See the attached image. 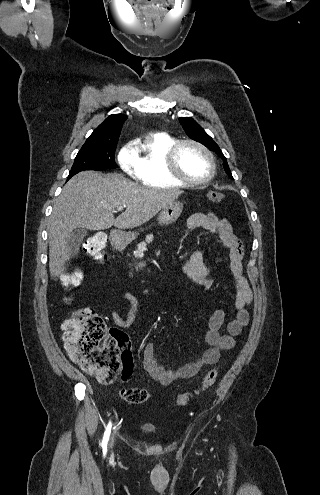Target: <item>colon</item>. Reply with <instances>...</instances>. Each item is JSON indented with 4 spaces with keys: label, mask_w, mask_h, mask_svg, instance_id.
Returning <instances> with one entry per match:
<instances>
[{
    "label": "colon",
    "mask_w": 320,
    "mask_h": 495,
    "mask_svg": "<svg viewBox=\"0 0 320 495\" xmlns=\"http://www.w3.org/2000/svg\"><path fill=\"white\" fill-rule=\"evenodd\" d=\"M209 199L219 203L223 195L213 191ZM105 245V235L96 233L84 242L83 249L90 258L102 263L108 258ZM81 279L79 273H68L62 282L66 288H72L77 286ZM62 328L63 344L70 358L84 371L96 376L101 383H113L121 368L131 367L132 355L126 334L116 329H109L103 318L93 310H78L63 322ZM217 376L216 368L209 370L194 391L178 395L176 405L186 406L194 394L212 387ZM120 394L122 399L130 404L143 403L150 397L148 390L139 388L122 389Z\"/></svg>",
    "instance_id": "colon-1"
}]
</instances>
